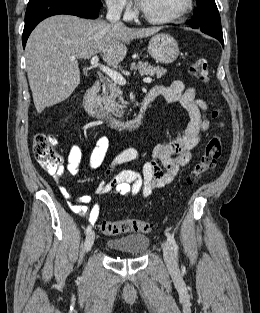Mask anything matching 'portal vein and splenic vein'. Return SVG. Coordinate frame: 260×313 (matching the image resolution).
Masks as SVG:
<instances>
[{"label":"portal vein and splenic vein","instance_id":"portal-vein-and-splenic-vein-1","mask_svg":"<svg viewBox=\"0 0 260 313\" xmlns=\"http://www.w3.org/2000/svg\"><path fill=\"white\" fill-rule=\"evenodd\" d=\"M71 59L75 60V58H71ZM90 62H91L92 66L99 67L100 70H102L106 75H108L115 83H117L119 85H125L126 84V80L122 76V74H120L117 71L110 69L109 67H107L105 65L100 64L99 63V57L97 55L93 56ZM143 82L151 83L152 79L147 77V78L143 79Z\"/></svg>","mask_w":260,"mask_h":313}]
</instances>
